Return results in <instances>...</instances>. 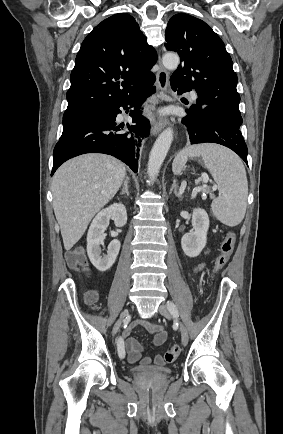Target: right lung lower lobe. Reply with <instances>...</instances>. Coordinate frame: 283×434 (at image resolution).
<instances>
[{
  "label": "right lung lower lobe",
  "instance_id": "right-lung-lower-lobe-1",
  "mask_svg": "<svg viewBox=\"0 0 283 434\" xmlns=\"http://www.w3.org/2000/svg\"><path fill=\"white\" fill-rule=\"evenodd\" d=\"M155 75L127 96L101 113L73 120L63 126V133L54 148V162L51 175L70 158L85 153H104L126 163L134 172L138 171L139 147L141 140L150 132V123L141 114V105L155 92ZM120 107L130 110L134 125L115 122ZM128 112V111H127ZM128 129L130 132L124 133Z\"/></svg>",
  "mask_w": 283,
  "mask_h": 434
}]
</instances>
